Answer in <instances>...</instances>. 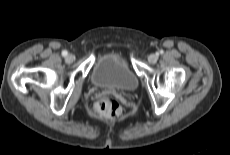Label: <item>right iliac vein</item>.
I'll use <instances>...</instances> for the list:
<instances>
[{"mask_svg": "<svg viewBox=\"0 0 230 155\" xmlns=\"http://www.w3.org/2000/svg\"><path fill=\"white\" fill-rule=\"evenodd\" d=\"M67 63H72L74 60V56L72 54H68L65 58Z\"/></svg>", "mask_w": 230, "mask_h": 155, "instance_id": "obj_1", "label": "right iliac vein"}]
</instances>
